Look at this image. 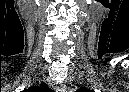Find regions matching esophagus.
<instances>
[{"label":"esophagus","instance_id":"obj_1","mask_svg":"<svg viewBox=\"0 0 129 92\" xmlns=\"http://www.w3.org/2000/svg\"><path fill=\"white\" fill-rule=\"evenodd\" d=\"M59 91H60V92H66L67 90H66L65 85L62 84V85L60 86Z\"/></svg>","mask_w":129,"mask_h":92}]
</instances>
